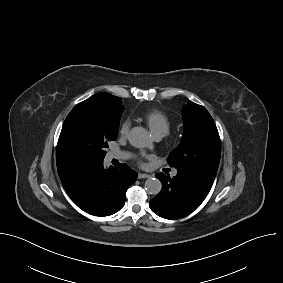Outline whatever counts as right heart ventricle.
<instances>
[{"label": "right heart ventricle", "mask_w": 283, "mask_h": 283, "mask_svg": "<svg viewBox=\"0 0 283 283\" xmlns=\"http://www.w3.org/2000/svg\"><path fill=\"white\" fill-rule=\"evenodd\" d=\"M143 119L155 136H165L170 131V119L161 110H149L143 114Z\"/></svg>", "instance_id": "e07e8e85"}]
</instances>
